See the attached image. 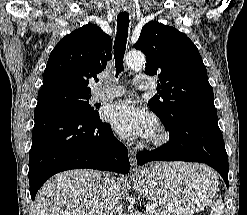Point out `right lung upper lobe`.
Instances as JSON below:
<instances>
[{
    "label": "right lung upper lobe",
    "instance_id": "cb5924a9",
    "mask_svg": "<svg viewBox=\"0 0 247 215\" xmlns=\"http://www.w3.org/2000/svg\"><path fill=\"white\" fill-rule=\"evenodd\" d=\"M111 50V37L97 25L87 24L73 31L52 50L42 89L65 88L91 95L89 79H97L112 58Z\"/></svg>",
    "mask_w": 247,
    "mask_h": 215
}]
</instances>
